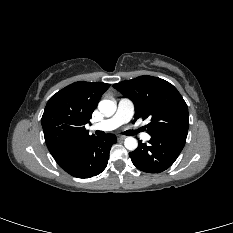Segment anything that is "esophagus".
I'll return each mask as SVG.
<instances>
[{"instance_id": "34e87169", "label": "esophagus", "mask_w": 233, "mask_h": 233, "mask_svg": "<svg viewBox=\"0 0 233 233\" xmlns=\"http://www.w3.org/2000/svg\"><path fill=\"white\" fill-rule=\"evenodd\" d=\"M117 139H118V140H124V139H125V136H118Z\"/></svg>"}]
</instances>
